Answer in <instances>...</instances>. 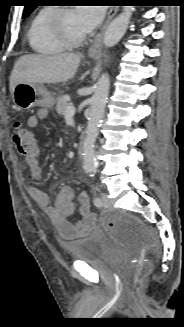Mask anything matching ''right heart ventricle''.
I'll return each mask as SVG.
<instances>
[{"label": "right heart ventricle", "mask_w": 184, "mask_h": 327, "mask_svg": "<svg viewBox=\"0 0 184 327\" xmlns=\"http://www.w3.org/2000/svg\"><path fill=\"white\" fill-rule=\"evenodd\" d=\"M54 8L45 7L32 18L27 38L30 47L39 54L55 55L64 52L68 47L61 43L49 29V18Z\"/></svg>", "instance_id": "obj_1"}]
</instances>
